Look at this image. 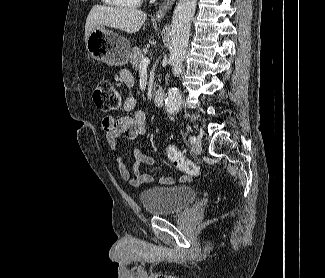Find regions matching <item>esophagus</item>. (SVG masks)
Instances as JSON below:
<instances>
[{"instance_id":"34e87169","label":"esophagus","mask_w":325,"mask_h":278,"mask_svg":"<svg viewBox=\"0 0 325 278\" xmlns=\"http://www.w3.org/2000/svg\"><path fill=\"white\" fill-rule=\"evenodd\" d=\"M175 0H164L162 6L159 8V10L155 14V19L160 21L161 19L164 18L165 14L167 11L171 9L173 6Z\"/></svg>"}]
</instances>
